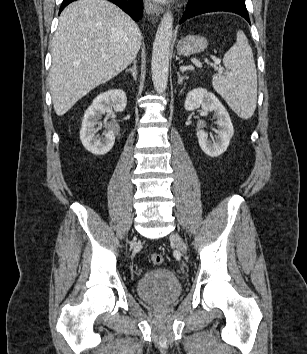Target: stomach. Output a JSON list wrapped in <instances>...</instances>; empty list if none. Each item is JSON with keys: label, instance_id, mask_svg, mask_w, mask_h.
<instances>
[{"label": "stomach", "instance_id": "1", "mask_svg": "<svg viewBox=\"0 0 307 354\" xmlns=\"http://www.w3.org/2000/svg\"><path fill=\"white\" fill-rule=\"evenodd\" d=\"M208 46L205 37L200 35H187L177 45L179 55H191L203 52Z\"/></svg>", "mask_w": 307, "mask_h": 354}]
</instances>
